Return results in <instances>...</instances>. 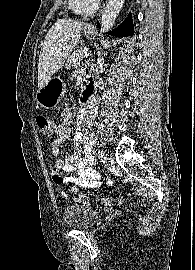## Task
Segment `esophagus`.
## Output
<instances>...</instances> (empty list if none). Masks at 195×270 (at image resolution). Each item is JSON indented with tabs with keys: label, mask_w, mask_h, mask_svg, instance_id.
I'll use <instances>...</instances> for the list:
<instances>
[{
	"label": "esophagus",
	"mask_w": 195,
	"mask_h": 270,
	"mask_svg": "<svg viewBox=\"0 0 195 270\" xmlns=\"http://www.w3.org/2000/svg\"><path fill=\"white\" fill-rule=\"evenodd\" d=\"M87 27H88L89 29H94V28H95L94 25H93L92 23H89V24L87 25Z\"/></svg>",
	"instance_id": "34e87169"
}]
</instances>
